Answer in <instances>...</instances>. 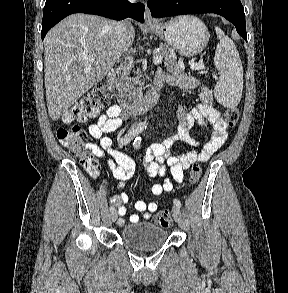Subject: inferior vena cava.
<instances>
[{"label": "inferior vena cava", "mask_w": 288, "mask_h": 293, "mask_svg": "<svg viewBox=\"0 0 288 293\" xmlns=\"http://www.w3.org/2000/svg\"><path fill=\"white\" fill-rule=\"evenodd\" d=\"M130 1L131 2H136L137 0H130ZM126 24H127V21H120V22L116 23L115 31H116V34H117L118 38H120L123 35V33L125 32Z\"/></svg>", "instance_id": "1"}]
</instances>
